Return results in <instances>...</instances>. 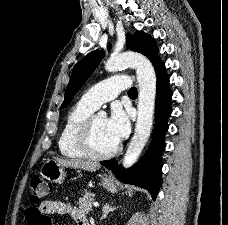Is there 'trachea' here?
Listing matches in <instances>:
<instances>
[{
	"label": "trachea",
	"instance_id": "1",
	"mask_svg": "<svg viewBox=\"0 0 228 225\" xmlns=\"http://www.w3.org/2000/svg\"><path fill=\"white\" fill-rule=\"evenodd\" d=\"M128 95L129 96L137 95V88H135V87L130 88V90H128Z\"/></svg>",
	"mask_w": 228,
	"mask_h": 225
}]
</instances>
